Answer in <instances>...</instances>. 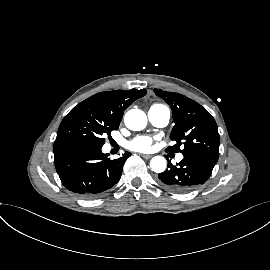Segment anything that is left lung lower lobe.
I'll return each instance as SVG.
<instances>
[{
    "label": "left lung lower lobe",
    "mask_w": 270,
    "mask_h": 270,
    "mask_svg": "<svg viewBox=\"0 0 270 270\" xmlns=\"http://www.w3.org/2000/svg\"><path fill=\"white\" fill-rule=\"evenodd\" d=\"M183 156L176 165L168 161L169 168L158 175L160 184L172 192H189L205 183L217 163L196 154Z\"/></svg>",
    "instance_id": "0a47b994"
}]
</instances>
